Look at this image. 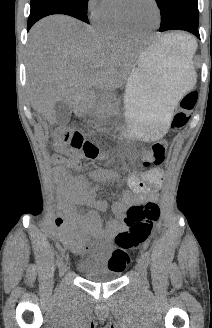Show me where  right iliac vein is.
<instances>
[{"instance_id":"right-iliac-vein-1","label":"right iliac vein","mask_w":212,"mask_h":328,"mask_svg":"<svg viewBox=\"0 0 212 328\" xmlns=\"http://www.w3.org/2000/svg\"><path fill=\"white\" fill-rule=\"evenodd\" d=\"M67 270V266L65 263H62L61 266L59 267V274L60 276H63Z\"/></svg>"}]
</instances>
